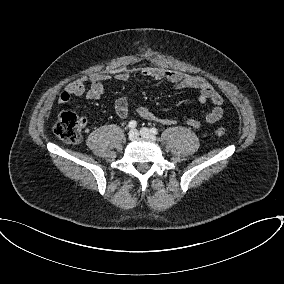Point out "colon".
Masks as SVG:
<instances>
[{
	"label": "colon",
	"instance_id": "colon-1",
	"mask_svg": "<svg viewBox=\"0 0 284 284\" xmlns=\"http://www.w3.org/2000/svg\"><path fill=\"white\" fill-rule=\"evenodd\" d=\"M53 131L59 139L68 144H77L82 138L80 119L71 112L59 114ZM215 132L218 136H223L226 133L223 127L216 128Z\"/></svg>",
	"mask_w": 284,
	"mask_h": 284
}]
</instances>
